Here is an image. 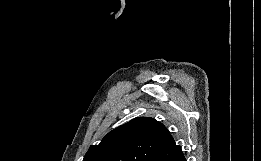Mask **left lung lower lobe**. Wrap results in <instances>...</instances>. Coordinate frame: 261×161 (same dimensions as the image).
Instances as JSON below:
<instances>
[{"mask_svg":"<svg viewBox=\"0 0 261 161\" xmlns=\"http://www.w3.org/2000/svg\"><path fill=\"white\" fill-rule=\"evenodd\" d=\"M151 161H186L179 145L175 142L160 150Z\"/></svg>","mask_w":261,"mask_h":161,"instance_id":"obj_1","label":"left lung lower lobe"}]
</instances>
